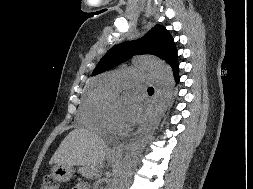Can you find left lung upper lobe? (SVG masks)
<instances>
[{
  "label": "left lung upper lobe",
  "instance_id": "left-lung-upper-lobe-1",
  "mask_svg": "<svg viewBox=\"0 0 253 189\" xmlns=\"http://www.w3.org/2000/svg\"><path fill=\"white\" fill-rule=\"evenodd\" d=\"M136 54H152L165 60L172 68L178 64L177 49L170 33L155 25L139 41H129L112 47L100 60L92 75L104 72Z\"/></svg>",
  "mask_w": 253,
  "mask_h": 189
}]
</instances>
